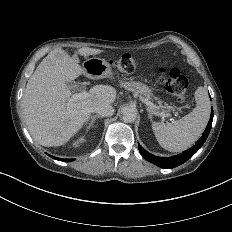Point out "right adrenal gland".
<instances>
[{"mask_svg":"<svg viewBox=\"0 0 232 232\" xmlns=\"http://www.w3.org/2000/svg\"><path fill=\"white\" fill-rule=\"evenodd\" d=\"M98 118H101V116H95V115L89 116L88 120L84 124L85 134H87V132L89 131V129H91L92 125L94 124V122Z\"/></svg>","mask_w":232,"mask_h":232,"instance_id":"obj_1","label":"right adrenal gland"}]
</instances>
